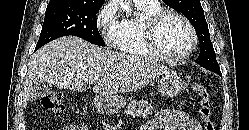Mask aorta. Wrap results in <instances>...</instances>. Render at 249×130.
<instances>
[{"label":"aorta","mask_w":249,"mask_h":130,"mask_svg":"<svg viewBox=\"0 0 249 130\" xmlns=\"http://www.w3.org/2000/svg\"><path fill=\"white\" fill-rule=\"evenodd\" d=\"M122 9L126 11L127 13H131V8L128 5L122 6Z\"/></svg>","instance_id":"1"}]
</instances>
